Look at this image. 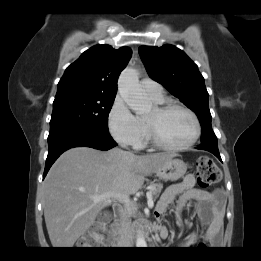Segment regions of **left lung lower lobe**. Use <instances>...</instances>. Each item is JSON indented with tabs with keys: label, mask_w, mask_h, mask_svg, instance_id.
Wrapping results in <instances>:
<instances>
[{
	"label": "left lung lower lobe",
	"mask_w": 261,
	"mask_h": 261,
	"mask_svg": "<svg viewBox=\"0 0 261 261\" xmlns=\"http://www.w3.org/2000/svg\"><path fill=\"white\" fill-rule=\"evenodd\" d=\"M197 149L209 151V152H211L212 154H214L220 161H222V160H221V157H220L219 150H218L217 142H215V141L202 142V143L197 147Z\"/></svg>",
	"instance_id": "0a47b994"
}]
</instances>
